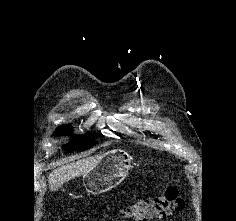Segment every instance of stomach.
<instances>
[{"mask_svg": "<svg viewBox=\"0 0 236 221\" xmlns=\"http://www.w3.org/2000/svg\"><path fill=\"white\" fill-rule=\"evenodd\" d=\"M132 157L122 150H112L83 175L85 189L92 194L107 192L120 184L132 167Z\"/></svg>", "mask_w": 236, "mask_h": 221, "instance_id": "1", "label": "stomach"}]
</instances>
